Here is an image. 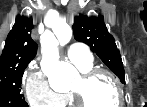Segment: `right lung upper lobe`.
Returning a JSON list of instances; mask_svg holds the SVG:
<instances>
[{"mask_svg": "<svg viewBox=\"0 0 147 107\" xmlns=\"http://www.w3.org/2000/svg\"><path fill=\"white\" fill-rule=\"evenodd\" d=\"M32 20L16 18L0 56V75L27 67L36 56L37 43L31 38Z\"/></svg>", "mask_w": 147, "mask_h": 107, "instance_id": "obj_1", "label": "right lung upper lobe"}]
</instances>
